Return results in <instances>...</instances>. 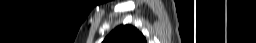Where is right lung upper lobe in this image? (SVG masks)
<instances>
[{"mask_svg":"<svg viewBox=\"0 0 256 43\" xmlns=\"http://www.w3.org/2000/svg\"><path fill=\"white\" fill-rule=\"evenodd\" d=\"M103 43H147L145 37L131 25H121L114 29Z\"/></svg>","mask_w":256,"mask_h":43,"instance_id":"cb5924a9","label":"right lung upper lobe"}]
</instances>
